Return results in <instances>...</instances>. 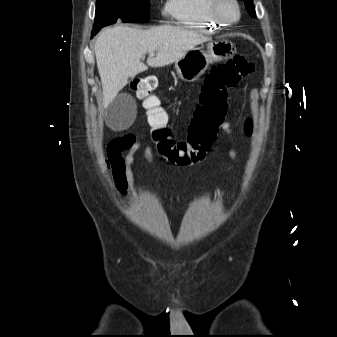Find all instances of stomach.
Wrapping results in <instances>:
<instances>
[{
	"instance_id": "1",
	"label": "stomach",
	"mask_w": 337,
	"mask_h": 337,
	"mask_svg": "<svg viewBox=\"0 0 337 337\" xmlns=\"http://www.w3.org/2000/svg\"><path fill=\"white\" fill-rule=\"evenodd\" d=\"M234 51V44L228 40L209 41L205 46L189 50L176 61V73L184 81H196L207 70L210 63L227 59Z\"/></svg>"
}]
</instances>
